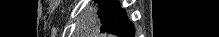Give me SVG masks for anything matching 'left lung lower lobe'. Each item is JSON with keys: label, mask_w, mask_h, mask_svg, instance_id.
<instances>
[{"label": "left lung lower lobe", "mask_w": 219, "mask_h": 37, "mask_svg": "<svg viewBox=\"0 0 219 37\" xmlns=\"http://www.w3.org/2000/svg\"><path fill=\"white\" fill-rule=\"evenodd\" d=\"M107 33L117 35L119 37H134V27L128 21L124 10L119 11L114 23L108 28Z\"/></svg>", "instance_id": "obj_1"}]
</instances>
